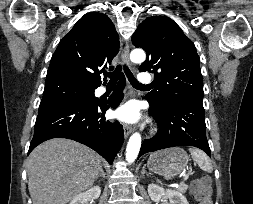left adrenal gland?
Listing matches in <instances>:
<instances>
[{
	"mask_svg": "<svg viewBox=\"0 0 253 204\" xmlns=\"http://www.w3.org/2000/svg\"><path fill=\"white\" fill-rule=\"evenodd\" d=\"M145 167H146V166L144 165L143 168H142V176H143L144 174H147V176H149L150 173H147Z\"/></svg>",
	"mask_w": 253,
	"mask_h": 204,
	"instance_id": "1",
	"label": "left adrenal gland"
}]
</instances>
